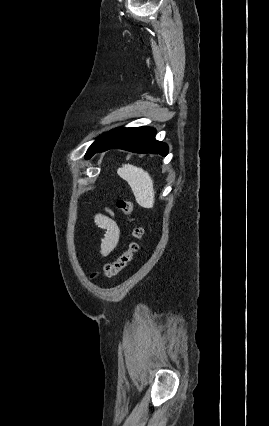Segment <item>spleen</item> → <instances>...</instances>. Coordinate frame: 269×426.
<instances>
[{
    "label": "spleen",
    "instance_id": "obj_1",
    "mask_svg": "<svg viewBox=\"0 0 269 426\" xmlns=\"http://www.w3.org/2000/svg\"><path fill=\"white\" fill-rule=\"evenodd\" d=\"M117 173L129 184L136 202L141 207L152 208L154 206V185L147 171L131 164H124L117 170Z\"/></svg>",
    "mask_w": 269,
    "mask_h": 426
}]
</instances>
